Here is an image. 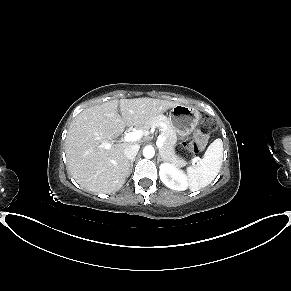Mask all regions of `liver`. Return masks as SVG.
<instances>
[{
  "label": "liver",
  "mask_w": 291,
  "mask_h": 291,
  "mask_svg": "<svg viewBox=\"0 0 291 291\" xmlns=\"http://www.w3.org/2000/svg\"><path fill=\"white\" fill-rule=\"evenodd\" d=\"M176 105L168 100L135 98L111 100L82 111L71 123L65 141L71 176L87 191L108 194L119 190L129 176L125 148L143 143L146 137L135 143L110 141L122 134L125 127H140ZM107 143L108 149L104 147Z\"/></svg>",
  "instance_id": "liver-1"
}]
</instances>
